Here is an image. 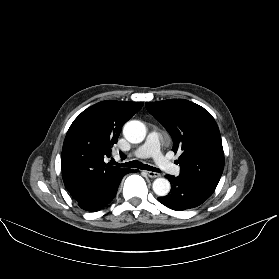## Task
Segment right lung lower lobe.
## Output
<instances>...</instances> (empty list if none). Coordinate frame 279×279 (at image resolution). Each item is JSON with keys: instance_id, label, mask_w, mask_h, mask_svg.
<instances>
[{"instance_id": "obj_1", "label": "right lung lower lobe", "mask_w": 279, "mask_h": 279, "mask_svg": "<svg viewBox=\"0 0 279 279\" xmlns=\"http://www.w3.org/2000/svg\"><path fill=\"white\" fill-rule=\"evenodd\" d=\"M134 172V170H129L127 173ZM126 173V174H127ZM124 176V175H123ZM120 177L110 185H108L102 192L99 194L90 197L88 199L78 201V205L90 212H95L103 208L105 205H107L116 195L118 186L120 184L121 179L123 178Z\"/></svg>"}]
</instances>
